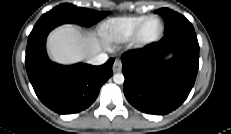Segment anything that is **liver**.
I'll return each instance as SVG.
<instances>
[{"mask_svg": "<svg viewBox=\"0 0 231 134\" xmlns=\"http://www.w3.org/2000/svg\"><path fill=\"white\" fill-rule=\"evenodd\" d=\"M47 50L52 60L61 64H73L100 53L101 44L95 33L84 35L73 25L67 24L50 33Z\"/></svg>", "mask_w": 231, "mask_h": 134, "instance_id": "liver-1", "label": "liver"}]
</instances>
